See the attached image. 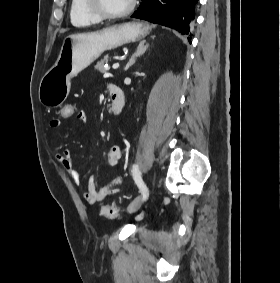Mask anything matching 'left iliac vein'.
<instances>
[{
	"label": "left iliac vein",
	"instance_id": "1",
	"mask_svg": "<svg viewBox=\"0 0 280 283\" xmlns=\"http://www.w3.org/2000/svg\"><path fill=\"white\" fill-rule=\"evenodd\" d=\"M143 198L142 196L136 197L127 207L128 213H134L136 212L142 205Z\"/></svg>",
	"mask_w": 280,
	"mask_h": 283
}]
</instances>
